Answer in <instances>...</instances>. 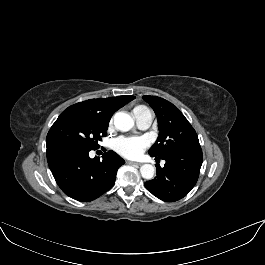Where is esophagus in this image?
Here are the masks:
<instances>
[{
	"label": "esophagus",
	"instance_id": "esophagus-1",
	"mask_svg": "<svg viewBox=\"0 0 265 265\" xmlns=\"http://www.w3.org/2000/svg\"><path fill=\"white\" fill-rule=\"evenodd\" d=\"M129 164H133V165H138V166H140L141 165V163H139V162H128Z\"/></svg>",
	"mask_w": 265,
	"mask_h": 265
}]
</instances>
